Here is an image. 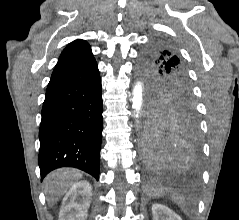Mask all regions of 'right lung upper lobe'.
Masks as SVG:
<instances>
[{"instance_id": "cb5924a9", "label": "right lung upper lobe", "mask_w": 239, "mask_h": 220, "mask_svg": "<svg viewBox=\"0 0 239 220\" xmlns=\"http://www.w3.org/2000/svg\"><path fill=\"white\" fill-rule=\"evenodd\" d=\"M94 60L89 44L81 39L70 43L62 52L51 77L78 68Z\"/></svg>"}]
</instances>
